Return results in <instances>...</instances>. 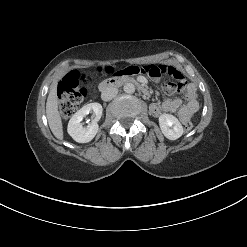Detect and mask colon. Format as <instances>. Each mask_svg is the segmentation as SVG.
<instances>
[{
    "label": "colon",
    "mask_w": 247,
    "mask_h": 247,
    "mask_svg": "<svg viewBox=\"0 0 247 247\" xmlns=\"http://www.w3.org/2000/svg\"><path fill=\"white\" fill-rule=\"evenodd\" d=\"M106 72L113 73L114 70L107 68ZM89 82V76L76 70L69 72L60 82L58 86L59 110L64 118L70 117L84 102ZM193 127L191 122L184 125L186 132L192 131Z\"/></svg>",
    "instance_id": "obj_1"
}]
</instances>
